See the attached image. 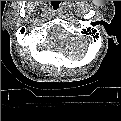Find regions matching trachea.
Listing matches in <instances>:
<instances>
[{"label": "trachea", "instance_id": "trachea-1", "mask_svg": "<svg viewBox=\"0 0 121 121\" xmlns=\"http://www.w3.org/2000/svg\"><path fill=\"white\" fill-rule=\"evenodd\" d=\"M51 5H52L54 10H57L60 8V1H52Z\"/></svg>", "mask_w": 121, "mask_h": 121}]
</instances>
